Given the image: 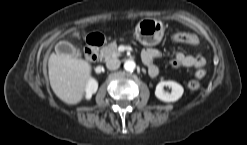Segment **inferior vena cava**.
Listing matches in <instances>:
<instances>
[{
	"mask_svg": "<svg viewBox=\"0 0 247 145\" xmlns=\"http://www.w3.org/2000/svg\"><path fill=\"white\" fill-rule=\"evenodd\" d=\"M120 60L116 59V58H111V59H108L106 61V67L109 69V70H116L120 67Z\"/></svg>",
	"mask_w": 247,
	"mask_h": 145,
	"instance_id": "obj_1",
	"label": "inferior vena cava"
}]
</instances>
